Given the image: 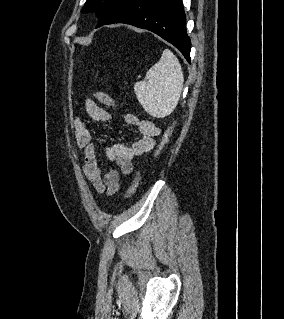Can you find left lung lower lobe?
Instances as JSON below:
<instances>
[{
	"label": "left lung lower lobe",
	"instance_id": "1",
	"mask_svg": "<svg viewBox=\"0 0 284 319\" xmlns=\"http://www.w3.org/2000/svg\"><path fill=\"white\" fill-rule=\"evenodd\" d=\"M125 23L147 29L174 45L190 63L182 0H125L104 24Z\"/></svg>",
	"mask_w": 284,
	"mask_h": 319
}]
</instances>
